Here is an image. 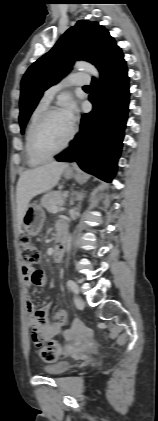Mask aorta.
<instances>
[{
    "instance_id": "1",
    "label": "aorta",
    "mask_w": 158,
    "mask_h": 421,
    "mask_svg": "<svg viewBox=\"0 0 158 421\" xmlns=\"http://www.w3.org/2000/svg\"><path fill=\"white\" fill-rule=\"evenodd\" d=\"M74 67H76L79 70H82V71H85V72L89 73L90 75L96 77L97 79H99V77H100L99 71L91 63H88V62H85V61H77L74 65Z\"/></svg>"
}]
</instances>
